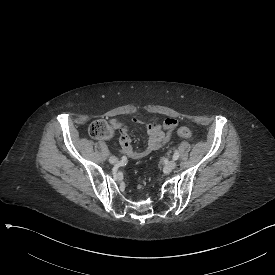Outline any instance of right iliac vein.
I'll use <instances>...</instances> for the list:
<instances>
[{
    "label": "right iliac vein",
    "mask_w": 275,
    "mask_h": 275,
    "mask_svg": "<svg viewBox=\"0 0 275 275\" xmlns=\"http://www.w3.org/2000/svg\"><path fill=\"white\" fill-rule=\"evenodd\" d=\"M109 162H110L111 164H117V163L119 162V160H118L117 157L111 156V157L109 158Z\"/></svg>",
    "instance_id": "1"
}]
</instances>
